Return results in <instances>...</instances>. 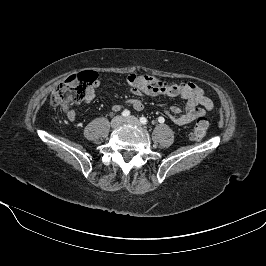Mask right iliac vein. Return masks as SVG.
<instances>
[{"mask_svg":"<svg viewBox=\"0 0 266 266\" xmlns=\"http://www.w3.org/2000/svg\"><path fill=\"white\" fill-rule=\"evenodd\" d=\"M124 119L122 116H116L112 119L110 125L112 128H116L123 123Z\"/></svg>","mask_w":266,"mask_h":266,"instance_id":"obj_1","label":"right iliac vein"}]
</instances>
